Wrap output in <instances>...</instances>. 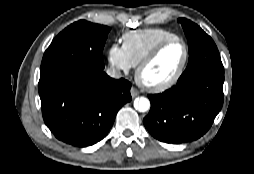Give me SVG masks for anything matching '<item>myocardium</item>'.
I'll return each instance as SVG.
<instances>
[{"label": "myocardium", "mask_w": 254, "mask_h": 174, "mask_svg": "<svg viewBox=\"0 0 254 174\" xmlns=\"http://www.w3.org/2000/svg\"><path fill=\"white\" fill-rule=\"evenodd\" d=\"M173 42H180V43H182V45L184 47V57H183L181 65L178 68V70L176 71V73L168 80L160 82V83L145 82L142 79V72L144 71V69L158 57L160 52L167 45H169ZM189 54H190L189 46L186 43V41L181 37L177 36V37L166 39L164 41L159 42L149 51V53L137 65L135 77H136L138 84L141 85L143 88L150 90L152 92H161V91L169 89L170 87L175 85L178 82V80L181 78V76L183 75V73L186 69L188 60H189Z\"/></svg>", "instance_id": "f54148a6"}]
</instances>
